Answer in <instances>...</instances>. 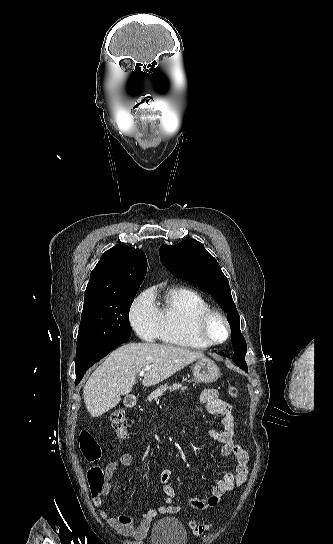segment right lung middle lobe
<instances>
[{
    "label": "right lung middle lobe",
    "instance_id": "dd1d6c3e",
    "mask_svg": "<svg viewBox=\"0 0 333 544\" xmlns=\"http://www.w3.org/2000/svg\"><path fill=\"white\" fill-rule=\"evenodd\" d=\"M136 291L84 303L77 337L76 366L117 338L130 336L129 310Z\"/></svg>",
    "mask_w": 333,
    "mask_h": 544
}]
</instances>
